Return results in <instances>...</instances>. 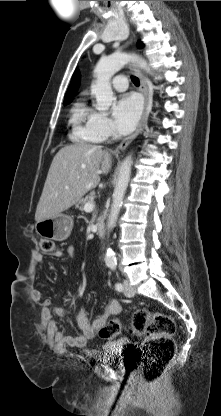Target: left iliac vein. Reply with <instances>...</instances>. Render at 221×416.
<instances>
[{
    "label": "left iliac vein",
    "mask_w": 221,
    "mask_h": 416,
    "mask_svg": "<svg viewBox=\"0 0 221 416\" xmlns=\"http://www.w3.org/2000/svg\"><path fill=\"white\" fill-rule=\"evenodd\" d=\"M123 284H124V295L127 297H133L135 295V291L130 286V282L128 280H124Z\"/></svg>",
    "instance_id": "obj_1"
}]
</instances>
